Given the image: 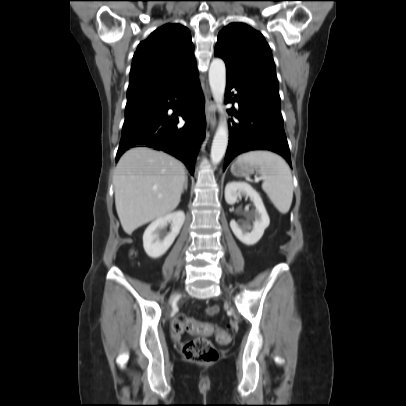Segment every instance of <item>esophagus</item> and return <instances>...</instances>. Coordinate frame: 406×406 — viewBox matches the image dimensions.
<instances>
[{"instance_id":"34e87169","label":"esophagus","mask_w":406,"mask_h":406,"mask_svg":"<svg viewBox=\"0 0 406 406\" xmlns=\"http://www.w3.org/2000/svg\"><path fill=\"white\" fill-rule=\"evenodd\" d=\"M215 104V99L210 93L207 95L205 103V115H206V131L207 133L213 131L216 126V114L213 109Z\"/></svg>"}]
</instances>
